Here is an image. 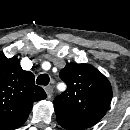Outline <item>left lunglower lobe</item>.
Returning <instances> with one entry per match:
<instances>
[{
    "label": "left lung lower lobe",
    "instance_id": "left-lung-lower-lobe-1",
    "mask_svg": "<svg viewBox=\"0 0 130 130\" xmlns=\"http://www.w3.org/2000/svg\"><path fill=\"white\" fill-rule=\"evenodd\" d=\"M55 114L58 123L67 130H84L97 123L89 118L71 113L61 107H55Z\"/></svg>",
    "mask_w": 130,
    "mask_h": 130
}]
</instances>
